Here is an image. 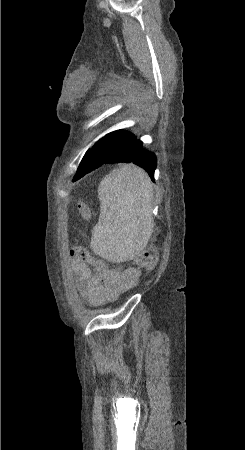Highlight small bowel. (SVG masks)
Here are the masks:
<instances>
[{
	"label": "small bowel",
	"mask_w": 245,
	"mask_h": 450,
	"mask_svg": "<svg viewBox=\"0 0 245 450\" xmlns=\"http://www.w3.org/2000/svg\"><path fill=\"white\" fill-rule=\"evenodd\" d=\"M91 265L79 262L70 252V267L81 294L93 306L116 300L120 294L133 288L141 276V271L134 267L94 271Z\"/></svg>",
	"instance_id": "1"
}]
</instances>
